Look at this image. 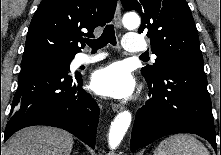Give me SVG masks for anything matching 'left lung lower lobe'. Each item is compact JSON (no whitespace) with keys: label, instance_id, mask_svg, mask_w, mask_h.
<instances>
[{"label":"left lung lower lobe","instance_id":"obj_1","mask_svg":"<svg viewBox=\"0 0 221 155\" xmlns=\"http://www.w3.org/2000/svg\"><path fill=\"white\" fill-rule=\"evenodd\" d=\"M150 99L136 114L131 151L174 133L197 134L216 150V136L203 64L174 63L146 78ZM221 154V144H220Z\"/></svg>","mask_w":221,"mask_h":155}]
</instances>
